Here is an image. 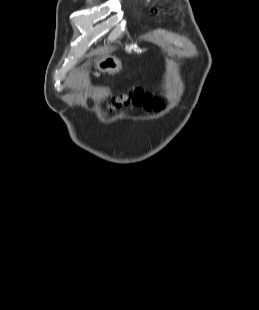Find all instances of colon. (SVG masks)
<instances>
[{
    "instance_id": "obj_1",
    "label": "colon",
    "mask_w": 259,
    "mask_h": 310,
    "mask_svg": "<svg viewBox=\"0 0 259 310\" xmlns=\"http://www.w3.org/2000/svg\"><path fill=\"white\" fill-rule=\"evenodd\" d=\"M129 103L145 107L159 106V100L156 97H153L151 94L144 92L143 90L137 89L132 93L116 98L115 101H113L112 104L109 106L107 113L115 111L123 105Z\"/></svg>"
}]
</instances>
